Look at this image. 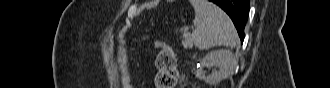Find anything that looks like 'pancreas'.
<instances>
[{
  "label": "pancreas",
  "instance_id": "1",
  "mask_svg": "<svg viewBox=\"0 0 330 88\" xmlns=\"http://www.w3.org/2000/svg\"><path fill=\"white\" fill-rule=\"evenodd\" d=\"M182 45L185 49L192 48V39L189 33H184L182 36Z\"/></svg>",
  "mask_w": 330,
  "mask_h": 88
}]
</instances>
